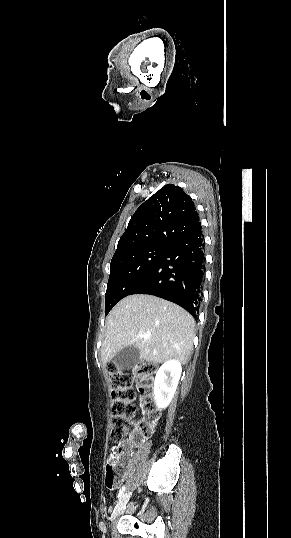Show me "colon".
Masks as SVG:
<instances>
[{
	"label": "colon",
	"instance_id": "colon-1",
	"mask_svg": "<svg viewBox=\"0 0 291 538\" xmlns=\"http://www.w3.org/2000/svg\"><path fill=\"white\" fill-rule=\"evenodd\" d=\"M108 375L112 387V419L110 424L111 441L119 445L131 434L132 419L136 413L133 401L136 397L133 388L134 382L138 385V391L142 397V404L151 416L153 424L159 418L153 400V382L156 375V367L150 363L137 364L132 373L123 371L114 363L107 364ZM150 426L143 431L148 434ZM121 452L114 448L109 454L106 464V483L109 487L116 485L125 471V464L120 460Z\"/></svg>",
	"mask_w": 291,
	"mask_h": 538
}]
</instances>
